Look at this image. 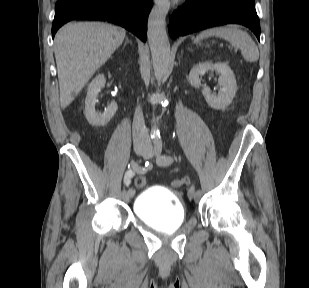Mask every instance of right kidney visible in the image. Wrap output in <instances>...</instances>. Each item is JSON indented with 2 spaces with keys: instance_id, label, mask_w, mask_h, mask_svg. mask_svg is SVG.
<instances>
[{
  "instance_id": "obj_1",
  "label": "right kidney",
  "mask_w": 309,
  "mask_h": 288,
  "mask_svg": "<svg viewBox=\"0 0 309 288\" xmlns=\"http://www.w3.org/2000/svg\"><path fill=\"white\" fill-rule=\"evenodd\" d=\"M106 79L103 74L97 75L88 86L87 96L85 100V116L87 121L93 126H104L116 113L118 106L115 102L107 107L103 114H97L95 111V103L97 95L101 88L105 86Z\"/></svg>"
}]
</instances>
